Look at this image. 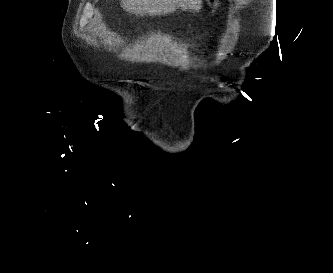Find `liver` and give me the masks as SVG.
<instances>
[{
    "instance_id": "1",
    "label": "liver",
    "mask_w": 333,
    "mask_h": 273,
    "mask_svg": "<svg viewBox=\"0 0 333 273\" xmlns=\"http://www.w3.org/2000/svg\"><path fill=\"white\" fill-rule=\"evenodd\" d=\"M202 0H122L121 7L129 13L144 16L173 13L181 8L183 11H199Z\"/></svg>"
}]
</instances>
